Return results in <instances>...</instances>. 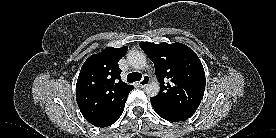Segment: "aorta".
<instances>
[{
	"label": "aorta",
	"mask_w": 276,
	"mask_h": 138,
	"mask_svg": "<svg viewBox=\"0 0 276 138\" xmlns=\"http://www.w3.org/2000/svg\"><path fill=\"white\" fill-rule=\"evenodd\" d=\"M127 60L130 66L135 69L142 70L147 65V59L143 52L130 51L127 55ZM160 91V86L157 81L148 83L145 87V92L150 97H155Z\"/></svg>",
	"instance_id": "762f6f07"
}]
</instances>
